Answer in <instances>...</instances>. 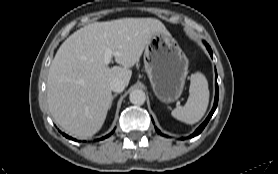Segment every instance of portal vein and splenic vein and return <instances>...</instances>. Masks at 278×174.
I'll return each instance as SVG.
<instances>
[{
    "instance_id": "18ae733b",
    "label": "portal vein and splenic vein",
    "mask_w": 278,
    "mask_h": 174,
    "mask_svg": "<svg viewBox=\"0 0 278 174\" xmlns=\"http://www.w3.org/2000/svg\"><path fill=\"white\" fill-rule=\"evenodd\" d=\"M119 53H114L110 49H106L104 53V63L108 65L111 62L113 55H118Z\"/></svg>"
}]
</instances>
